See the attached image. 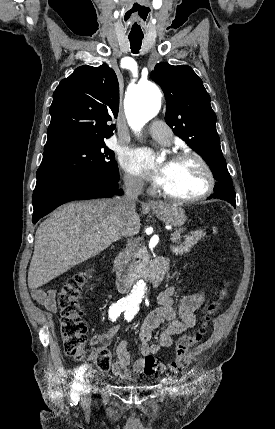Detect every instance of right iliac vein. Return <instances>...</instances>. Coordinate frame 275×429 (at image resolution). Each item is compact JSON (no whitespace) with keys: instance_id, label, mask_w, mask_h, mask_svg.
Segmentation results:
<instances>
[{"instance_id":"right-iliac-vein-1","label":"right iliac vein","mask_w":275,"mask_h":429,"mask_svg":"<svg viewBox=\"0 0 275 429\" xmlns=\"http://www.w3.org/2000/svg\"><path fill=\"white\" fill-rule=\"evenodd\" d=\"M87 389H88L87 382H84V385H83V394H84L85 400H88V396L86 394Z\"/></svg>"}]
</instances>
